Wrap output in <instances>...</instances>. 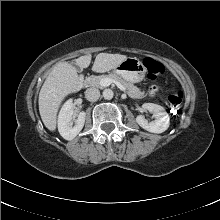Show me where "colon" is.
Returning <instances> with one entry per match:
<instances>
[{"label":"colon","instance_id":"obj_1","mask_svg":"<svg viewBox=\"0 0 220 220\" xmlns=\"http://www.w3.org/2000/svg\"><path fill=\"white\" fill-rule=\"evenodd\" d=\"M143 64L147 70V75L150 79H156L164 73V66L160 62L152 58H145ZM182 99L183 93L179 90H172L168 94L167 101L171 112L175 113L178 111L182 103Z\"/></svg>","mask_w":220,"mask_h":220}]
</instances>
